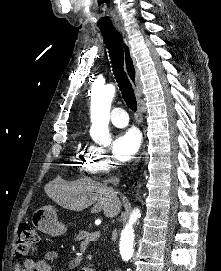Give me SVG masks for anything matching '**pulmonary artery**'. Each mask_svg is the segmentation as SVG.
Returning <instances> with one entry per match:
<instances>
[{
	"instance_id": "obj_1",
	"label": "pulmonary artery",
	"mask_w": 221,
	"mask_h": 271,
	"mask_svg": "<svg viewBox=\"0 0 221 271\" xmlns=\"http://www.w3.org/2000/svg\"><path fill=\"white\" fill-rule=\"evenodd\" d=\"M116 111H119V108H116ZM110 116L112 117V125L117 127L128 126L129 117L126 112H111Z\"/></svg>"
}]
</instances>
